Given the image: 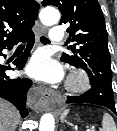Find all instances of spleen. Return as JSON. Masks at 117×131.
<instances>
[{"label": "spleen", "mask_w": 117, "mask_h": 131, "mask_svg": "<svg viewBox=\"0 0 117 131\" xmlns=\"http://www.w3.org/2000/svg\"><path fill=\"white\" fill-rule=\"evenodd\" d=\"M69 110H65L61 116V119L63 120L65 116L68 114ZM102 127L103 131H117L116 124L112 118V116L108 113H105L103 115L102 120Z\"/></svg>", "instance_id": "1"}]
</instances>
